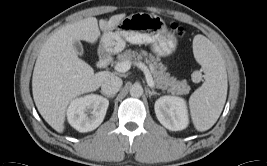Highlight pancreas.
<instances>
[{
  "label": "pancreas",
  "mask_w": 267,
  "mask_h": 166,
  "mask_svg": "<svg viewBox=\"0 0 267 166\" xmlns=\"http://www.w3.org/2000/svg\"><path fill=\"white\" fill-rule=\"evenodd\" d=\"M142 59H144L145 63L148 64L151 69L154 79L153 81L157 88L166 90L172 94L183 95L189 93L190 87L186 80L178 81L174 77H171L170 74L166 72V67L153 55H148L144 50L137 52L128 49L117 56V63L128 61L132 64L136 62V60Z\"/></svg>",
  "instance_id": "obj_1"
}]
</instances>
